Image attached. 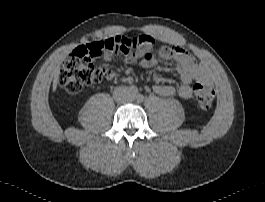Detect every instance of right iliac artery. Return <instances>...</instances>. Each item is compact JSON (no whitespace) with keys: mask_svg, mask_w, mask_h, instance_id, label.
<instances>
[{"mask_svg":"<svg viewBox=\"0 0 265 202\" xmlns=\"http://www.w3.org/2000/svg\"><path fill=\"white\" fill-rule=\"evenodd\" d=\"M129 91L132 93V94H136L138 92V89L136 86L132 85L129 87Z\"/></svg>","mask_w":265,"mask_h":202,"instance_id":"right-iliac-artery-1","label":"right iliac artery"}]
</instances>
